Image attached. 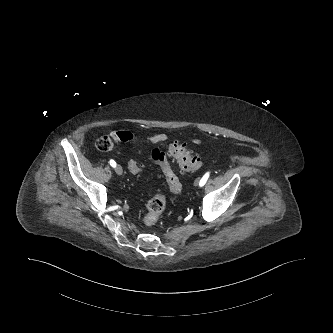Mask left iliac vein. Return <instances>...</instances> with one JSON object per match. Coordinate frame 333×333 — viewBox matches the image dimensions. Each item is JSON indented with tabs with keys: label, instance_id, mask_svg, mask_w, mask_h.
I'll list each match as a JSON object with an SVG mask.
<instances>
[{
	"label": "left iliac vein",
	"instance_id": "1",
	"mask_svg": "<svg viewBox=\"0 0 333 333\" xmlns=\"http://www.w3.org/2000/svg\"><path fill=\"white\" fill-rule=\"evenodd\" d=\"M199 182H200V179L197 178V179L194 181V185L197 186V185L199 184Z\"/></svg>",
	"mask_w": 333,
	"mask_h": 333
}]
</instances>
